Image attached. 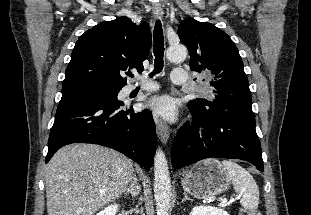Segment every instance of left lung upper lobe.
Returning a JSON list of instances; mask_svg holds the SVG:
<instances>
[{
  "label": "left lung upper lobe",
  "instance_id": "obj_1",
  "mask_svg": "<svg viewBox=\"0 0 311 215\" xmlns=\"http://www.w3.org/2000/svg\"><path fill=\"white\" fill-rule=\"evenodd\" d=\"M180 41L190 54V68L206 72L212 94L188 103L189 108L218 113L226 110L252 112L249 82L239 51L230 37L215 25L192 18L178 28Z\"/></svg>",
  "mask_w": 311,
  "mask_h": 215
}]
</instances>
